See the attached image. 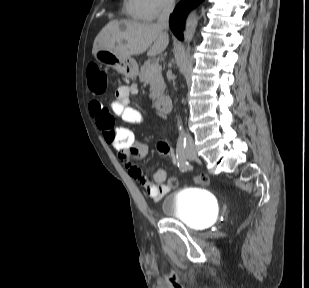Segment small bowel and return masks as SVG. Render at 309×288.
<instances>
[{
    "label": "small bowel",
    "instance_id": "obj_1",
    "mask_svg": "<svg viewBox=\"0 0 309 288\" xmlns=\"http://www.w3.org/2000/svg\"><path fill=\"white\" fill-rule=\"evenodd\" d=\"M137 91L138 88L135 84L121 85L117 88L115 98L109 108L104 107L98 101H91L89 109L104 141L118 153L120 161L128 174L142 186L151 200L159 201L173 188L169 182H165V172L158 169L154 173L155 181L148 180L134 163V160L146 157L148 153L147 145L136 140L131 130L114 126L112 114L130 124L143 121L141 112L130 106V97L135 95ZM157 151L162 157L172 162L176 161L174 150L168 142L158 143Z\"/></svg>",
    "mask_w": 309,
    "mask_h": 288
}]
</instances>
